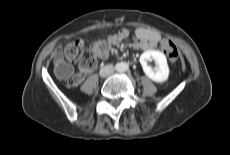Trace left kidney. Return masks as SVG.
I'll list each match as a JSON object with an SVG mask.
<instances>
[{
	"mask_svg": "<svg viewBox=\"0 0 230 155\" xmlns=\"http://www.w3.org/2000/svg\"><path fill=\"white\" fill-rule=\"evenodd\" d=\"M153 59L156 62V67L152 69L147 65L149 60ZM140 64L148 78L156 83H164L169 77V67L166 56L158 50H147L140 56Z\"/></svg>",
	"mask_w": 230,
	"mask_h": 155,
	"instance_id": "left-kidney-1",
	"label": "left kidney"
}]
</instances>
